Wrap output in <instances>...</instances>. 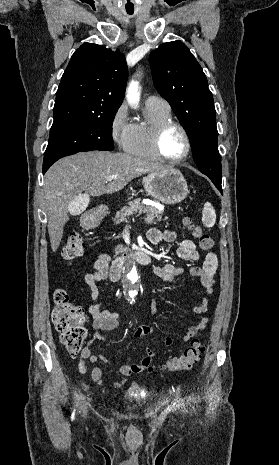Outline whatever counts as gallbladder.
I'll return each instance as SVG.
<instances>
[{
  "label": "gallbladder",
  "mask_w": 279,
  "mask_h": 465,
  "mask_svg": "<svg viewBox=\"0 0 279 465\" xmlns=\"http://www.w3.org/2000/svg\"><path fill=\"white\" fill-rule=\"evenodd\" d=\"M86 200L82 196L74 198L70 202V210L73 216L80 215L85 210Z\"/></svg>",
  "instance_id": "gallbladder-1"
}]
</instances>
